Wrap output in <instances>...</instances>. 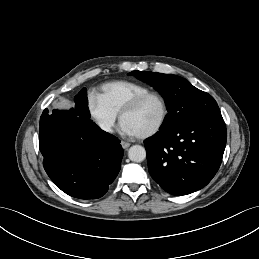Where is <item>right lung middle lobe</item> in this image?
<instances>
[{"mask_svg":"<svg viewBox=\"0 0 259 259\" xmlns=\"http://www.w3.org/2000/svg\"><path fill=\"white\" fill-rule=\"evenodd\" d=\"M76 103V109L79 111L80 114L87 116L90 118L89 110H88V101H87V94L86 89L83 88L74 99Z\"/></svg>","mask_w":259,"mask_h":259,"instance_id":"dd1d6c3e","label":"right lung middle lobe"}]
</instances>
